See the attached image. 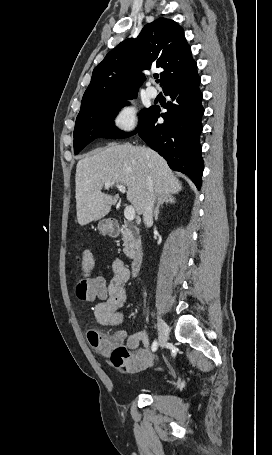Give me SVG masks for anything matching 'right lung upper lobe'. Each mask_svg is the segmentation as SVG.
<instances>
[{
  "label": "right lung upper lobe",
  "mask_w": 272,
  "mask_h": 455,
  "mask_svg": "<svg viewBox=\"0 0 272 455\" xmlns=\"http://www.w3.org/2000/svg\"><path fill=\"white\" fill-rule=\"evenodd\" d=\"M164 69L161 86L182 79L196 70L183 29L173 20L159 18L144 26L137 39L129 38L111 50L93 70L81 112L138 92L145 80L141 70Z\"/></svg>",
  "instance_id": "obj_1"
}]
</instances>
